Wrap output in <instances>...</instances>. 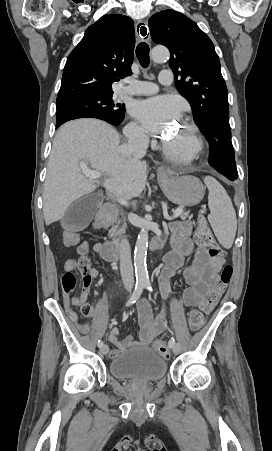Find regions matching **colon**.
<instances>
[{
    "instance_id": "colon-1",
    "label": "colon",
    "mask_w": 272,
    "mask_h": 451,
    "mask_svg": "<svg viewBox=\"0 0 272 451\" xmlns=\"http://www.w3.org/2000/svg\"><path fill=\"white\" fill-rule=\"evenodd\" d=\"M63 238L65 247L67 249H74L76 244H80V235H76L75 230H64ZM197 242L207 246V256L208 258H228V249H219L217 243L210 232L208 223L205 220L199 222V228L196 233ZM67 270L64 274H59V283H61V289H78V280H76V274H73L74 267H78L83 271H90L92 269V264L85 256L81 257H71L66 262ZM233 274V267L231 265H225L220 273V282L203 298V303L201 305V310L194 309L189 314L190 327L193 330L201 328L203 324V314L202 312H211L215 305L219 302L222 295L225 293L227 286L230 283ZM70 293V292H69ZM69 303H78V294H69ZM81 313L88 315L91 313V305L84 302L81 305ZM74 317L75 314L71 313ZM81 332L86 333L89 330V326L83 323L79 326ZM153 350L159 351L163 358L167 359L169 354L172 353V346L170 342H154Z\"/></svg>"
}]
</instances>
